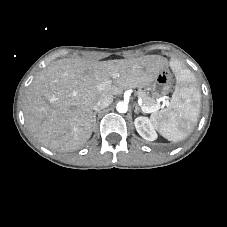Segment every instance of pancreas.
I'll return each instance as SVG.
<instances>
[{
	"label": "pancreas",
	"mask_w": 227,
	"mask_h": 227,
	"mask_svg": "<svg viewBox=\"0 0 227 227\" xmlns=\"http://www.w3.org/2000/svg\"><path fill=\"white\" fill-rule=\"evenodd\" d=\"M137 94L138 97L142 100L143 106L152 107L156 105L154 97H151L147 92L139 90Z\"/></svg>",
	"instance_id": "1"
}]
</instances>
